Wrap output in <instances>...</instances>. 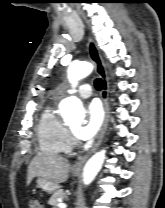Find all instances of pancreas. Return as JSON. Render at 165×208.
<instances>
[{"instance_id": "pancreas-1", "label": "pancreas", "mask_w": 165, "mask_h": 208, "mask_svg": "<svg viewBox=\"0 0 165 208\" xmlns=\"http://www.w3.org/2000/svg\"><path fill=\"white\" fill-rule=\"evenodd\" d=\"M66 195H65V192L61 189L59 190H56L53 195L50 197L49 201H48V204L53 206V208H56L59 204V201L58 199H63L65 198Z\"/></svg>"}]
</instances>
